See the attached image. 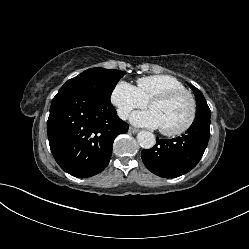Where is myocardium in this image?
<instances>
[{
    "instance_id": "obj_1",
    "label": "myocardium",
    "mask_w": 249,
    "mask_h": 249,
    "mask_svg": "<svg viewBox=\"0 0 249 249\" xmlns=\"http://www.w3.org/2000/svg\"><path fill=\"white\" fill-rule=\"evenodd\" d=\"M180 96H186L189 99L190 115L186 123L178 129L166 130V129L161 128L160 129L161 133L166 136H178V135L185 133L186 131L190 129V127L193 125L196 119V114H197L196 99L190 91L186 89H177V90H171V91H167L162 94L156 95L149 101V107L151 108L152 105L155 103L168 102Z\"/></svg>"
}]
</instances>
